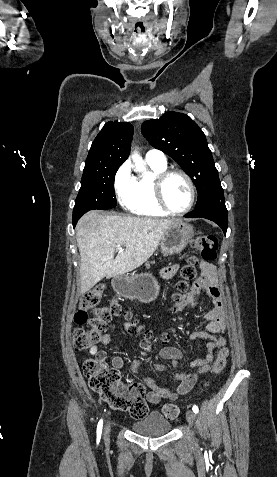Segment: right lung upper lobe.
Returning a JSON list of instances; mask_svg holds the SVG:
<instances>
[{
    "mask_svg": "<svg viewBox=\"0 0 277 477\" xmlns=\"http://www.w3.org/2000/svg\"><path fill=\"white\" fill-rule=\"evenodd\" d=\"M133 131L128 122H107L91 145L83 172L121 166L129 156Z\"/></svg>",
    "mask_w": 277,
    "mask_h": 477,
    "instance_id": "cb5924a9",
    "label": "right lung upper lobe"
}]
</instances>
